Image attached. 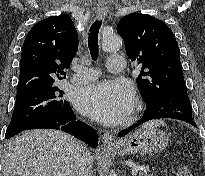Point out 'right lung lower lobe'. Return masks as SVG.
Listing matches in <instances>:
<instances>
[{
	"instance_id": "right-lung-lower-lobe-1",
	"label": "right lung lower lobe",
	"mask_w": 205,
	"mask_h": 176,
	"mask_svg": "<svg viewBox=\"0 0 205 176\" xmlns=\"http://www.w3.org/2000/svg\"><path fill=\"white\" fill-rule=\"evenodd\" d=\"M75 119L76 116L69 106L55 115L39 120L29 126L26 130L39 128L61 129L62 131L86 142L91 147H96L98 145L96 131L87 124L81 121H76Z\"/></svg>"
}]
</instances>
